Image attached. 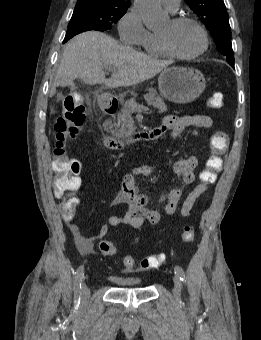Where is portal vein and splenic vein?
Masks as SVG:
<instances>
[{
	"label": "portal vein and splenic vein",
	"mask_w": 261,
	"mask_h": 340,
	"mask_svg": "<svg viewBox=\"0 0 261 340\" xmlns=\"http://www.w3.org/2000/svg\"><path fill=\"white\" fill-rule=\"evenodd\" d=\"M106 70L107 71H113V68L112 67H106ZM131 106H132V109L135 110V111H141V110L148 111L149 110L148 107L140 105V104L135 103V102H133L131 104Z\"/></svg>",
	"instance_id": "portal-vein-and-splenic-vein-1"
}]
</instances>
